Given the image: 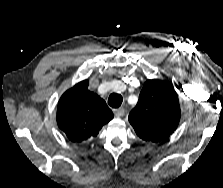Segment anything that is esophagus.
Here are the masks:
<instances>
[{
	"label": "esophagus",
	"instance_id": "esophagus-1",
	"mask_svg": "<svg viewBox=\"0 0 223 188\" xmlns=\"http://www.w3.org/2000/svg\"><path fill=\"white\" fill-rule=\"evenodd\" d=\"M113 112L116 117H121L124 115L125 111L123 107H120V108L114 109Z\"/></svg>",
	"mask_w": 223,
	"mask_h": 188
}]
</instances>
